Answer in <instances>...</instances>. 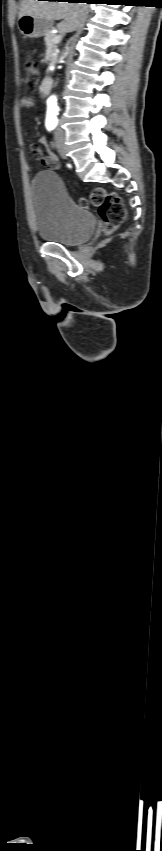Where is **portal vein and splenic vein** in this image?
<instances>
[{
  "label": "portal vein and splenic vein",
  "instance_id": "18ae733b",
  "mask_svg": "<svg viewBox=\"0 0 162 851\" xmlns=\"http://www.w3.org/2000/svg\"><path fill=\"white\" fill-rule=\"evenodd\" d=\"M61 38H62V36H61V35H58V36H56V39H55V40H56V41H59Z\"/></svg>",
  "mask_w": 162,
  "mask_h": 851
}]
</instances>
